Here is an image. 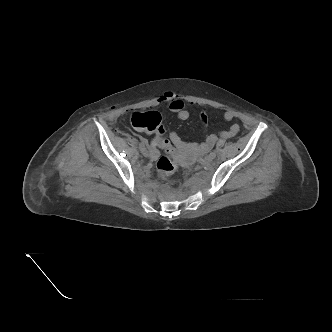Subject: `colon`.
Listing matches in <instances>:
<instances>
[{
    "mask_svg": "<svg viewBox=\"0 0 332 332\" xmlns=\"http://www.w3.org/2000/svg\"><path fill=\"white\" fill-rule=\"evenodd\" d=\"M131 122L136 129L155 134L159 147L166 153L157 160V172L162 178L171 177L177 170L175 151L170 141L163 137L165 130L161 115L157 111L136 112L132 115Z\"/></svg>",
    "mask_w": 332,
    "mask_h": 332,
    "instance_id": "colon-1",
    "label": "colon"
}]
</instances>
